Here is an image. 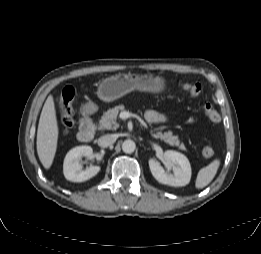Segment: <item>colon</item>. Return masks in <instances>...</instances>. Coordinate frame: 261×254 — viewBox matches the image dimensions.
<instances>
[{
	"mask_svg": "<svg viewBox=\"0 0 261 254\" xmlns=\"http://www.w3.org/2000/svg\"><path fill=\"white\" fill-rule=\"evenodd\" d=\"M180 89L189 94L192 98H197L201 94V85L199 83H182L177 82ZM75 91L72 87H65L56 101L58 110V121L61 131L64 134L70 132L73 127V108L72 102L74 99ZM203 111L206 118L213 122L218 123L221 120L219 112L207 101L203 103ZM215 151L212 147L206 146L202 149V155L205 158H210L214 155Z\"/></svg>",
	"mask_w": 261,
	"mask_h": 254,
	"instance_id": "obj_1",
	"label": "colon"
}]
</instances>
